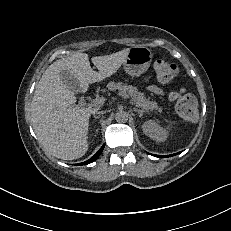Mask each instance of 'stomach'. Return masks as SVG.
Here are the masks:
<instances>
[{"label": "stomach", "instance_id": "stomach-1", "mask_svg": "<svg viewBox=\"0 0 231 231\" xmlns=\"http://www.w3.org/2000/svg\"><path fill=\"white\" fill-rule=\"evenodd\" d=\"M153 54L146 46H134L130 48L125 62L124 70L132 77L141 76L145 73L152 61Z\"/></svg>", "mask_w": 231, "mask_h": 231}]
</instances>
